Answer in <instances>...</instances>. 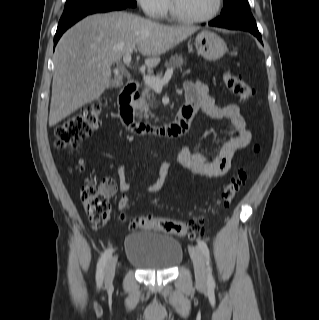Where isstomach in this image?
<instances>
[{
    "mask_svg": "<svg viewBox=\"0 0 319 320\" xmlns=\"http://www.w3.org/2000/svg\"><path fill=\"white\" fill-rule=\"evenodd\" d=\"M197 52L209 61H215L223 57L227 51L224 40L210 30H202L195 39Z\"/></svg>",
    "mask_w": 319,
    "mask_h": 320,
    "instance_id": "1",
    "label": "stomach"
}]
</instances>
